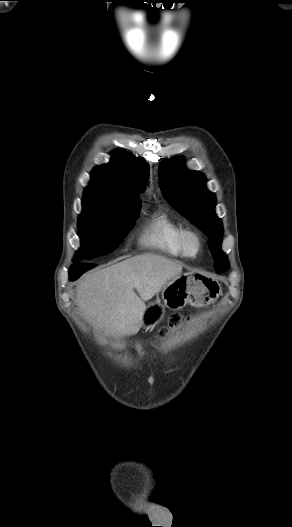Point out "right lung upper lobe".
Segmentation results:
<instances>
[{"mask_svg":"<svg viewBox=\"0 0 292 527\" xmlns=\"http://www.w3.org/2000/svg\"><path fill=\"white\" fill-rule=\"evenodd\" d=\"M148 176L149 167L145 162L125 151L116 150L111 163L92 171L91 182L84 195L111 203H138L141 202L138 194L143 191Z\"/></svg>","mask_w":292,"mask_h":527,"instance_id":"cb5924a9","label":"right lung upper lobe"}]
</instances>
